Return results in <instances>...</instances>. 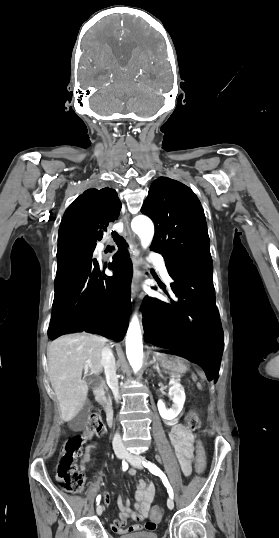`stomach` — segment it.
<instances>
[{
  "label": "stomach",
  "instance_id": "stomach-1",
  "mask_svg": "<svg viewBox=\"0 0 279 538\" xmlns=\"http://www.w3.org/2000/svg\"><path fill=\"white\" fill-rule=\"evenodd\" d=\"M154 358L160 362L162 368L170 370L174 374H182L184 372V360L180 358L179 353H160L154 352Z\"/></svg>",
  "mask_w": 279,
  "mask_h": 538
}]
</instances>
